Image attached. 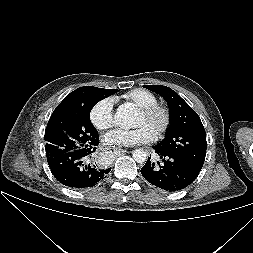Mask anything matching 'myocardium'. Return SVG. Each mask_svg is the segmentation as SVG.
Wrapping results in <instances>:
<instances>
[{
	"label": "myocardium",
	"instance_id": "myocardium-1",
	"mask_svg": "<svg viewBox=\"0 0 253 253\" xmlns=\"http://www.w3.org/2000/svg\"><path fill=\"white\" fill-rule=\"evenodd\" d=\"M139 112L146 117H150L156 114H159L161 116V124L154 133L156 138L163 136L169 129L171 124V112L167 106L155 103L149 106L140 107Z\"/></svg>",
	"mask_w": 253,
	"mask_h": 253
}]
</instances>
